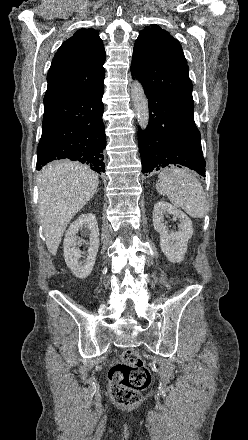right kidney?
<instances>
[{
  "mask_svg": "<svg viewBox=\"0 0 248 440\" xmlns=\"http://www.w3.org/2000/svg\"><path fill=\"white\" fill-rule=\"evenodd\" d=\"M83 228L85 233H89L90 242L87 258L80 262L81 252L76 246L80 245L81 241H77V233ZM63 246L65 262L72 273L80 279L88 277L93 270L99 248V229L95 216L86 213L73 221L65 234Z\"/></svg>",
  "mask_w": 248,
  "mask_h": 440,
  "instance_id": "right-kidney-1",
  "label": "right kidney"
}]
</instances>
